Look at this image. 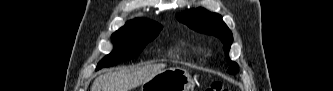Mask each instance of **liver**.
Instances as JSON below:
<instances>
[{"label": "liver", "mask_w": 333, "mask_h": 91, "mask_svg": "<svg viewBox=\"0 0 333 91\" xmlns=\"http://www.w3.org/2000/svg\"><path fill=\"white\" fill-rule=\"evenodd\" d=\"M165 67V64H145L110 71L95 79L91 91H131L164 70Z\"/></svg>", "instance_id": "liver-1"}]
</instances>
